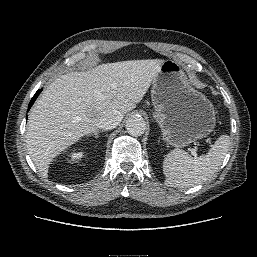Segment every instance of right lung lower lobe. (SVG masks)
<instances>
[{
    "instance_id": "98d812e1",
    "label": "right lung lower lobe",
    "mask_w": 257,
    "mask_h": 257,
    "mask_svg": "<svg viewBox=\"0 0 257 257\" xmlns=\"http://www.w3.org/2000/svg\"><path fill=\"white\" fill-rule=\"evenodd\" d=\"M42 91V89L38 90L35 95L33 96V98L31 99L29 106H28V110L30 109V107L33 105L34 101L36 100V98L38 97V95L40 94V92Z\"/></svg>"
}]
</instances>
